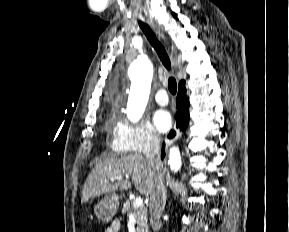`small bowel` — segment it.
I'll return each mask as SVG.
<instances>
[{
  "label": "small bowel",
  "mask_w": 289,
  "mask_h": 232,
  "mask_svg": "<svg viewBox=\"0 0 289 232\" xmlns=\"http://www.w3.org/2000/svg\"><path fill=\"white\" fill-rule=\"evenodd\" d=\"M120 223L118 221H113L104 232H119Z\"/></svg>",
  "instance_id": "c3829d8e"
}]
</instances>
